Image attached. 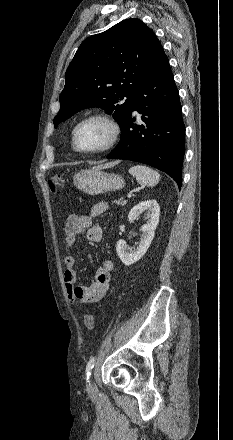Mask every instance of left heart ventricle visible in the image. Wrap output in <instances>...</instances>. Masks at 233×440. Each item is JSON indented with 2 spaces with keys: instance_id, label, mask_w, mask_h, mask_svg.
<instances>
[{
  "instance_id": "left-heart-ventricle-1",
  "label": "left heart ventricle",
  "mask_w": 233,
  "mask_h": 440,
  "mask_svg": "<svg viewBox=\"0 0 233 440\" xmlns=\"http://www.w3.org/2000/svg\"><path fill=\"white\" fill-rule=\"evenodd\" d=\"M109 136L110 129L105 123L91 120L79 128L77 143L82 149L92 150L105 145Z\"/></svg>"
}]
</instances>
